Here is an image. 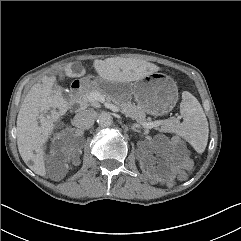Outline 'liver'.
<instances>
[{"label":"liver","instance_id":"1","mask_svg":"<svg viewBox=\"0 0 241 241\" xmlns=\"http://www.w3.org/2000/svg\"><path fill=\"white\" fill-rule=\"evenodd\" d=\"M72 65L68 63L65 66L66 76H80L72 71ZM94 68L100 79L120 83L137 81L159 70L152 63L124 58L96 60ZM54 81L55 78L46 77L42 84L36 83L24 98L17 116V145L21 158L41 176L46 175L43 146L52 133L55 119L65 112V100L61 90L53 88ZM49 110L52 117H45L44 113Z\"/></svg>","mask_w":241,"mask_h":241}]
</instances>
